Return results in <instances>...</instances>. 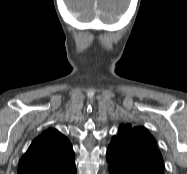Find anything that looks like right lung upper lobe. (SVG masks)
I'll return each mask as SVG.
<instances>
[{
  "label": "right lung upper lobe",
  "instance_id": "cb5924a9",
  "mask_svg": "<svg viewBox=\"0 0 187 174\" xmlns=\"http://www.w3.org/2000/svg\"><path fill=\"white\" fill-rule=\"evenodd\" d=\"M18 174H76L69 140L55 129L43 132L20 159Z\"/></svg>",
  "mask_w": 187,
  "mask_h": 174
}]
</instances>
